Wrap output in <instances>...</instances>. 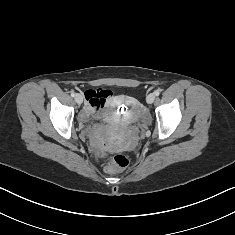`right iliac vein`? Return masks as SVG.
<instances>
[{"label":"right iliac vein","instance_id":"63e3f726","mask_svg":"<svg viewBox=\"0 0 235 235\" xmlns=\"http://www.w3.org/2000/svg\"><path fill=\"white\" fill-rule=\"evenodd\" d=\"M75 101L78 103V104H81L83 102V97L81 94H76L75 96Z\"/></svg>","mask_w":235,"mask_h":235}]
</instances>
